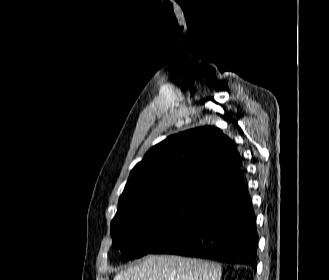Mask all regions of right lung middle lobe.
<instances>
[{"instance_id":"dd1d6c3e","label":"right lung middle lobe","mask_w":329,"mask_h":280,"mask_svg":"<svg viewBox=\"0 0 329 280\" xmlns=\"http://www.w3.org/2000/svg\"><path fill=\"white\" fill-rule=\"evenodd\" d=\"M202 197L177 195L152 198L140 204H119L111 222L113 246L123 259L148 254L167 238L201 203Z\"/></svg>"}]
</instances>
